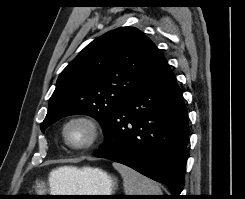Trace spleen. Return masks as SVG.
Returning <instances> with one entry per match:
<instances>
[{
    "mask_svg": "<svg viewBox=\"0 0 245 199\" xmlns=\"http://www.w3.org/2000/svg\"><path fill=\"white\" fill-rule=\"evenodd\" d=\"M113 167L121 174L125 195H162L158 184L135 170L119 163Z\"/></svg>",
    "mask_w": 245,
    "mask_h": 199,
    "instance_id": "spleen-1",
    "label": "spleen"
}]
</instances>
